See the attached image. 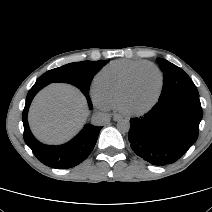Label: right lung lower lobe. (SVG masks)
<instances>
[{
  "label": "right lung lower lobe",
  "mask_w": 212,
  "mask_h": 212,
  "mask_svg": "<svg viewBox=\"0 0 212 212\" xmlns=\"http://www.w3.org/2000/svg\"><path fill=\"white\" fill-rule=\"evenodd\" d=\"M47 84L36 82L29 90L22 114L24 125V141L31 148L38 160L46 166L56 169L72 168L84 161L94 148L102 127L85 125L80 133L71 141L60 146H48L40 143L31 133L27 121L28 109L34 96ZM89 108H92L88 94Z\"/></svg>",
  "instance_id": "obj_1"
}]
</instances>
